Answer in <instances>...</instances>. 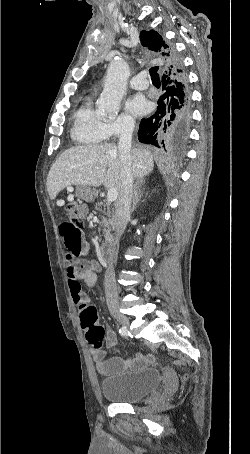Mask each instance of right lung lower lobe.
<instances>
[{"label": "right lung lower lobe", "instance_id": "98d812e1", "mask_svg": "<svg viewBox=\"0 0 250 454\" xmlns=\"http://www.w3.org/2000/svg\"><path fill=\"white\" fill-rule=\"evenodd\" d=\"M171 69L162 75L163 94L156 112L142 119L138 139L142 143L164 148H179L186 141L191 120L187 77L182 60L169 45Z\"/></svg>", "mask_w": 250, "mask_h": 454}]
</instances>
